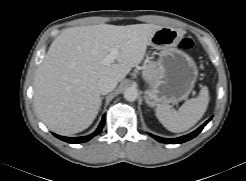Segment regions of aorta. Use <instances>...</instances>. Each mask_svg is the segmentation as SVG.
<instances>
[{
    "label": "aorta",
    "mask_w": 246,
    "mask_h": 181,
    "mask_svg": "<svg viewBox=\"0 0 246 181\" xmlns=\"http://www.w3.org/2000/svg\"><path fill=\"white\" fill-rule=\"evenodd\" d=\"M138 97V90L134 87H129L127 89H125L124 91V98L127 100V101H135Z\"/></svg>",
    "instance_id": "obj_1"
}]
</instances>
